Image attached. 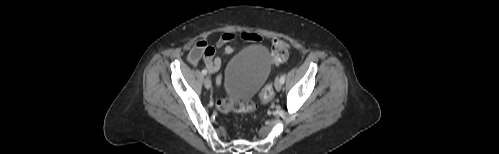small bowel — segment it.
I'll return each mask as SVG.
<instances>
[{"instance_id": "obj_1", "label": "small bowel", "mask_w": 499, "mask_h": 154, "mask_svg": "<svg viewBox=\"0 0 499 154\" xmlns=\"http://www.w3.org/2000/svg\"><path fill=\"white\" fill-rule=\"evenodd\" d=\"M237 39L251 42H260L262 40L261 36L254 32H227L219 37L215 46L217 49H222L223 53L231 54L234 51V47L230 43ZM205 64L210 73H216L221 68V59L213 57L210 60H205Z\"/></svg>"}]
</instances>
